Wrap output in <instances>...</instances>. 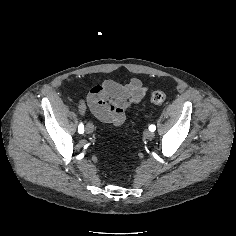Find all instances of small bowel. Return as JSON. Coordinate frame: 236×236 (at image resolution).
<instances>
[{
	"label": "small bowel",
	"instance_id": "obj_1",
	"mask_svg": "<svg viewBox=\"0 0 236 236\" xmlns=\"http://www.w3.org/2000/svg\"><path fill=\"white\" fill-rule=\"evenodd\" d=\"M148 88L137 78L127 84L106 80L90 90L86 102L80 101L79 112L84 115L87 107L102 122L121 125L126 114L145 97Z\"/></svg>",
	"mask_w": 236,
	"mask_h": 236
}]
</instances>
